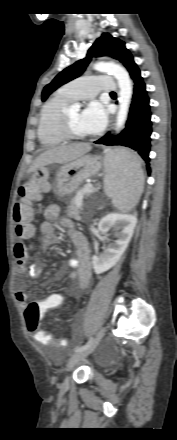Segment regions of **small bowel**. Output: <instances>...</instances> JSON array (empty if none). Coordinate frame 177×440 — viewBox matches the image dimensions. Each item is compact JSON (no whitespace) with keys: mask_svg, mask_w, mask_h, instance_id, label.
<instances>
[{"mask_svg":"<svg viewBox=\"0 0 177 440\" xmlns=\"http://www.w3.org/2000/svg\"><path fill=\"white\" fill-rule=\"evenodd\" d=\"M60 208L58 205L51 204L48 205L44 211L43 216L45 221L39 226V233L41 235L40 247L46 249L59 242V237L55 232L53 224L50 223L51 220H57L59 225L66 227L68 229L72 243L76 248V258L68 261L70 267L75 270L69 273V279L71 282L76 284V288L80 290H85L90 286L91 282V262H90V247L87 242L86 237L79 231L75 230L72 224L66 219H59ZM34 228H32V233ZM30 235V236H31ZM29 236V237H30ZM26 246L22 243H18L14 248V256L18 265L17 274L19 277H24L28 275L30 277H35L39 275L42 271L37 265L27 264V253ZM75 292V290L73 291ZM15 297L19 302L20 306L24 309L27 308L28 292L27 290L20 288L15 292ZM45 298H65L63 294L54 293L50 294ZM41 343V342H40ZM51 347V346H48Z\"/></svg>","mask_w":177,"mask_h":440,"instance_id":"obj_1","label":"small bowel"}]
</instances>
